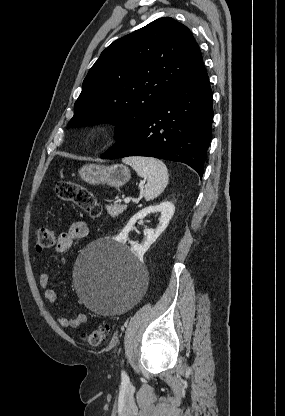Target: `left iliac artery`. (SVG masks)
Returning <instances> with one entry per match:
<instances>
[{"mask_svg":"<svg viewBox=\"0 0 285 416\" xmlns=\"http://www.w3.org/2000/svg\"><path fill=\"white\" fill-rule=\"evenodd\" d=\"M121 377H122V380H128L129 379L128 375L126 374V372L124 370H122V372H121Z\"/></svg>","mask_w":285,"mask_h":416,"instance_id":"44dca946","label":"left iliac artery"}]
</instances>
